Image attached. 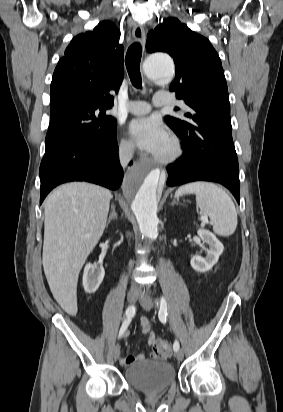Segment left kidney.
<instances>
[{
    "mask_svg": "<svg viewBox=\"0 0 283 412\" xmlns=\"http://www.w3.org/2000/svg\"><path fill=\"white\" fill-rule=\"evenodd\" d=\"M197 233L201 240L209 245V249H206L207 256L205 258L194 256L191 258L190 264L195 271L206 272L211 270L218 262L219 256L224 250V246L216 236L208 230L199 229Z\"/></svg>",
    "mask_w": 283,
    "mask_h": 412,
    "instance_id": "5707ae66",
    "label": "left kidney"
}]
</instances>
